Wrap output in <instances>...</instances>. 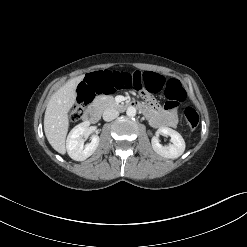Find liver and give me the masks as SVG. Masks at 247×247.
<instances>
[{"label":"liver","instance_id":"obj_1","mask_svg":"<svg viewBox=\"0 0 247 247\" xmlns=\"http://www.w3.org/2000/svg\"><path fill=\"white\" fill-rule=\"evenodd\" d=\"M82 76L69 80L48 102L44 116V131L50 145L60 154L66 153L65 140L69 128L68 113L76 100V88Z\"/></svg>","mask_w":247,"mask_h":247}]
</instances>
